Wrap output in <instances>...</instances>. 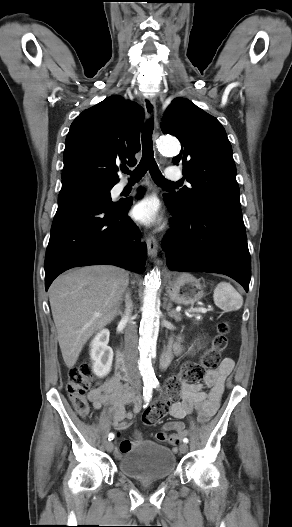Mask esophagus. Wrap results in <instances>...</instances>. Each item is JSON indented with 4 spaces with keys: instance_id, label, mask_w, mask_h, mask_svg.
<instances>
[{
    "instance_id": "obj_1",
    "label": "esophagus",
    "mask_w": 292,
    "mask_h": 527,
    "mask_svg": "<svg viewBox=\"0 0 292 527\" xmlns=\"http://www.w3.org/2000/svg\"><path fill=\"white\" fill-rule=\"evenodd\" d=\"M144 109L147 117L154 123V131L157 130V119H156V100L154 97L144 98ZM148 255L155 260V262H161L157 258L158 254V241L155 236L149 235L146 240Z\"/></svg>"
}]
</instances>
